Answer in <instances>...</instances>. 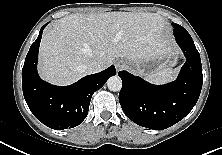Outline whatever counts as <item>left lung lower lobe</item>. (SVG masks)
Returning <instances> with one entry per match:
<instances>
[{"label":"left lung lower lobe","instance_id":"0a47b994","mask_svg":"<svg viewBox=\"0 0 222 155\" xmlns=\"http://www.w3.org/2000/svg\"><path fill=\"white\" fill-rule=\"evenodd\" d=\"M174 36L186 57L178 78L166 85H152L127 71L118 74L123 81L119 102L136 124L163 130L183 119L195 106L203 83L202 65L190 34L173 23Z\"/></svg>","mask_w":222,"mask_h":155}]
</instances>
